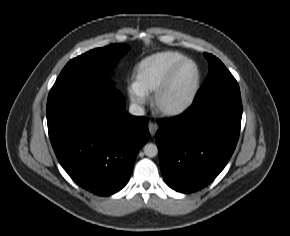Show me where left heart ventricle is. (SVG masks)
<instances>
[{"label":"left heart ventricle","mask_w":290,"mask_h":236,"mask_svg":"<svg viewBox=\"0 0 290 236\" xmlns=\"http://www.w3.org/2000/svg\"><path fill=\"white\" fill-rule=\"evenodd\" d=\"M196 79L194 65H184L175 75L171 85L162 95L160 103L166 107H173L184 102L191 94Z\"/></svg>","instance_id":"b2bd125f"}]
</instances>
